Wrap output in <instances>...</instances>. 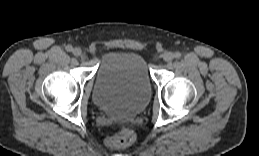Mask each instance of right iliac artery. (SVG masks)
<instances>
[{
	"label": "right iliac artery",
	"mask_w": 259,
	"mask_h": 156,
	"mask_svg": "<svg viewBox=\"0 0 259 156\" xmlns=\"http://www.w3.org/2000/svg\"><path fill=\"white\" fill-rule=\"evenodd\" d=\"M66 50H67L68 52H71V51L73 50V47H72L71 45H67V46H66Z\"/></svg>",
	"instance_id": "right-iliac-artery-1"
}]
</instances>
